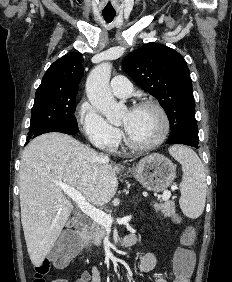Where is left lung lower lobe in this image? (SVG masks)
I'll list each match as a JSON object with an SVG mask.
<instances>
[{"instance_id":"obj_1","label":"left lung lower lobe","mask_w":232,"mask_h":282,"mask_svg":"<svg viewBox=\"0 0 232 282\" xmlns=\"http://www.w3.org/2000/svg\"><path fill=\"white\" fill-rule=\"evenodd\" d=\"M167 144H184L198 148V140L183 139L176 131H172Z\"/></svg>"}]
</instances>
